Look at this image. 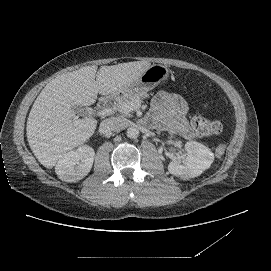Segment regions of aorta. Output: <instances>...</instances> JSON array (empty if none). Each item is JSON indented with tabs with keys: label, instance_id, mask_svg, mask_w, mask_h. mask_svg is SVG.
Masks as SVG:
<instances>
[{
	"label": "aorta",
	"instance_id": "1",
	"mask_svg": "<svg viewBox=\"0 0 271 271\" xmlns=\"http://www.w3.org/2000/svg\"><path fill=\"white\" fill-rule=\"evenodd\" d=\"M139 130L135 126H130L127 128L126 135L130 139H136L139 136Z\"/></svg>",
	"mask_w": 271,
	"mask_h": 271
}]
</instances>
